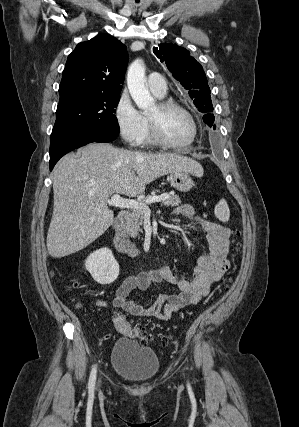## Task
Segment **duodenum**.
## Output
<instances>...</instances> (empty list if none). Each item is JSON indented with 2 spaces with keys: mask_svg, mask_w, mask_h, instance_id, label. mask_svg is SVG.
I'll return each mask as SVG.
<instances>
[{
  "mask_svg": "<svg viewBox=\"0 0 299 427\" xmlns=\"http://www.w3.org/2000/svg\"><path fill=\"white\" fill-rule=\"evenodd\" d=\"M129 219L128 211H120L112 224V241L118 251L126 256L135 258L141 255L139 248L131 243L124 231L125 223Z\"/></svg>",
  "mask_w": 299,
  "mask_h": 427,
  "instance_id": "duodenum-1",
  "label": "duodenum"
}]
</instances>
